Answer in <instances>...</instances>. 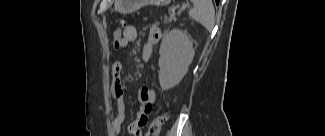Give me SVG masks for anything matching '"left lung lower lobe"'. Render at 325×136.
Masks as SVG:
<instances>
[{
	"mask_svg": "<svg viewBox=\"0 0 325 136\" xmlns=\"http://www.w3.org/2000/svg\"><path fill=\"white\" fill-rule=\"evenodd\" d=\"M216 4H218L219 0H215Z\"/></svg>",
	"mask_w": 325,
	"mask_h": 136,
	"instance_id": "0a47b994",
	"label": "left lung lower lobe"
}]
</instances>
